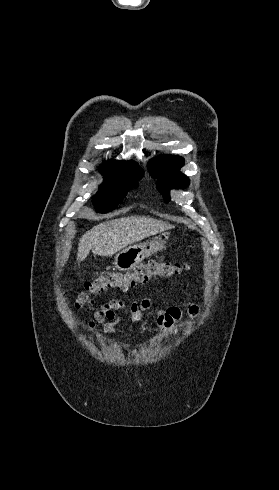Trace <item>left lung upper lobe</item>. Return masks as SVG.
<instances>
[{"mask_svg": "<svg viewBox=\"0 0 279 490\" xmlns=\"http://www.w3.org/2000/svg\"><path fill=\"white\" fill-rule=\"evenodd\" d=\"M184 165V159L177 156L161 155L150 160L148 169L151 175L158 177L157 189L166 202L170 200V188H186L189 179L179 170Z\"/></svg>", "mask_w": 279, "mask_h": 490, "instance_id": "obj_1", "label": "left lung upper lobe"}]
</instances>
